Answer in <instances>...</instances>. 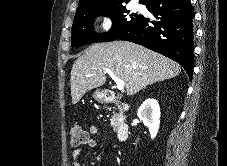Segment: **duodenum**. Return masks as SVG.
<instances>
[{
    "mask_svg": "<svg viewBox=\"0 0 227 166\" xmlns=\"http://www.w3.org/2000/svg\"><path fill=\"white\" fill-rule=\"evenodd\" d=\"M104 101L117 105L122 112H127L131 109V106L128 102L121 100L115 96L112 91H106L104 94ZM130 126L128 123L123 122L119 125L118 128V139L120 141H125L129 136Z\"/></svg>",
    "mask_w": 227,
    "mask_h": 166,
    "instance_id": "obj_1",
    "label": "duodenum"
}]
</instances>
